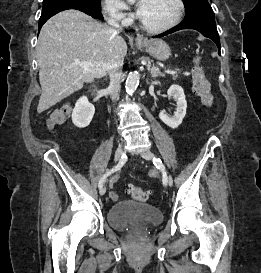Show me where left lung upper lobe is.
I'll list each match as a JSON object with an SVG mask.
<instances>
[{
	"label": "left lung upper lobe",
	"instance_id": "1",
	"mask_svg": "<svg viewBox=\"0 0 261 273\" xmlns=\"http://www.w3.org/2000/svg\"><path fill=\"white\" fill-rule=\"evenodd\" d=\"M183 2H184L185 10L188 11L191 8H193L195 5L208 2V0H183Z\"/></svg>",
	"mask_w": 261,
	"mask_h": 273
}]
</instances>
